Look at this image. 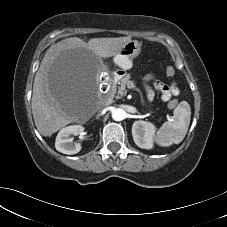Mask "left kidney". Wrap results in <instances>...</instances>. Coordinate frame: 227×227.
<instances>
[{"label":"left kidney","mask_w":227,"mask_h":227,"mask_svg":"<svg viewBox=\"0 0 227 227\" xmlns=\"http://www.w3.org/2000/svg\"><path fill=\"white\" fill-rule=\"evenodd\" d=\"M156 127L154 124L142 120L135 121L132 125V136L135 144L143 149H152Z\"/></svg>","instance_id":"5707ae66"}]
</instances>
